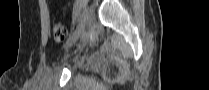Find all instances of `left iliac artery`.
Segmentation results:
<instances>
[{"label":"left iliac artery","mask_w":209,"mask_h":90,"mask_svg":"<svg viewBox=\"0 0 209 90\" xmlns=\"http://www.w3.org/2000/svg\"><path fill=\"white\" fill-rule=\"evenodd\" d=\"M83 4H84V0H76L75 5L73 6L74 18H78L82 16Z\"/></svg>","instance_id":"left-iliac-artery-1"}]
</instances>
